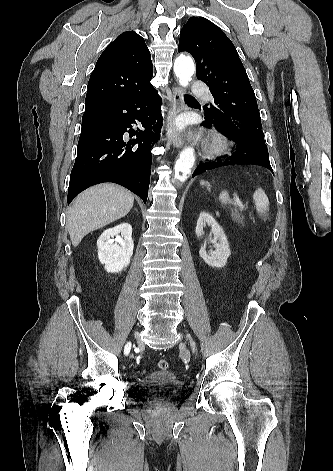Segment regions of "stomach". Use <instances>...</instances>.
<instances>
[{
    "label": "stomach",
    "instance_id": "stomach-1",
    "mask_svg": "<svg viewBox=\"0 0 333 471\" xmlns=\"http://www.w3.org/2000/svg\"><path fill=\"white\" fill-rule=\"evenodd\" d=\"M201 184H202V185H204V184H206V183H204V182H201Z\"/></svg>",
    "mask_w": 333,
    "mask_h": 471
}]
</instances>
